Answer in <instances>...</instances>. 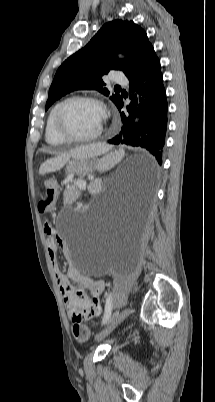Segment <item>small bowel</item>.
Here are the masks:
<instances>
[{"mask_svg":"<svg viewBox=\"0 0 215 402\" xmlns=\"http://www.w3.org/2000/svg\"><path fill=\"white\" fill-rule=\"evenodd\" d=\"M44 233L47 236V250L55 269L59 290L70 318L81 320L98 317L102 311L100 297L105 290V282L87 277L73 266L66 275L63 274L58 266L57 254L59 248L66 250V243L48 222L44 224ZM70 280L77 283L78 287L72 286Z\"/></svg>","mask_w":215,"mask_h":402,"instance_id":"small-bowel-1","label":"small bowel"}]
</instances>
